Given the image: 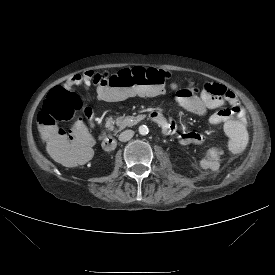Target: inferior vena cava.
Masks as SVG:
<instances>
[{
    "label": "inferior vena cava",
    "instance_id": "inferior-vena-cava-1",
    "mask_svg": "<svg viewBox=\"0 0 275 275\" xmlns=\"http://www.w3.org/2000/svg\"><path fill=\"white\" fill-rule=\"evenodd\" d=\"M133 135H134L133 130H125L119 135V140L122 142H126L130 140L133 137Z\"/></svg>",
    "mask_w": 275,
    "mask_h": 275
}]
</instances>
